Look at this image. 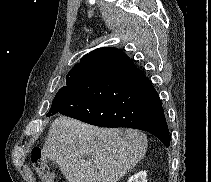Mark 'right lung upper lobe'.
<instances>
[{"mask_svg": "<svg viewBox=\"0 0 211 182\" xmlns=\"http://www.w3.org/2000/svg\"><path fill=\"white\" fill-rule=\"evenodd\" d=\"M89 54H90V53H89ZM89 54H86V55L81 59V61H80L77 65H75L74 67H83V68H84V66H85V64H86V62H87V60H88Z\"/></svg>", "mask_w": 211, "mask_h": 182, "instance_id": "1", "label": "right lung upper lobe"}]
</instances>
